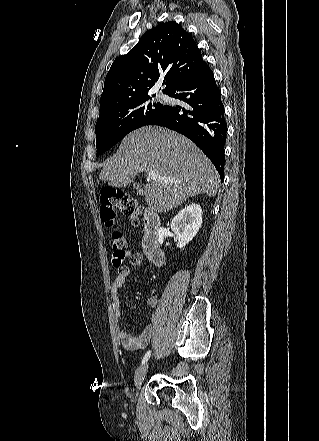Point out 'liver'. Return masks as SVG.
Returning <instances> with one entry per match:
<instances>
[{
    "label": "liver",
    "instance_id": "1",
    "mask_svg": "<svg viewBox=\"0 0 319 441\" xmlns=\"http://www.w3.org/2000/svg\"><path fill=\"white\" fill-rule=\"evenodd\" d=\"M150 171L180 181L164 183L157 179L144 186L145 200L156 212L168 211L198 194L213 197L220 183L214 165L192 141L175 131L150 125L134 130L121 141L99 179L123 187L137 174Z\"/></svg>",
    "mask_w": 319,
    "mask_h": 441
}]
</instances>
